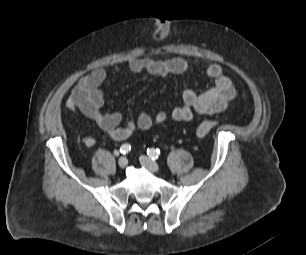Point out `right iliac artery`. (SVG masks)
Segmentation results:
<instances>
[{
	"label": "right iliac artery",
	"instance_id": "1",
	"mask_svg": "<svg viewBox=\"0 0 306 255\" xmlns=\"http://www.w3.org/2000/svg\"><path fill=\"white\" fill-rule=\"evenodd\" d=\"M130 150H131L130 144H123V145L120 147V152H121L122 154H127Z\"/></svg>",
	"mask_w": 306,
	"mask_h": 255
}]
</instances>
